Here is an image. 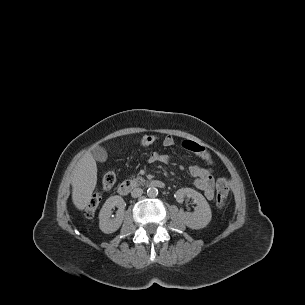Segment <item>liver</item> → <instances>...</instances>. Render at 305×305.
Here are the masks:
<instances>
[{
  "instance_id": "obj_1",
  "label": "liver",
  "mask_w": 305,
  "mask_h": 305,
  "mask_svg": "<svg viewBox=\"0 0 305 305\" xmlns=\"http://www.w3.org/2000/svg\"><path fill=\"white\" fill-rule=\"evenodd\" d=\"M96 184V161L86 151L77 162L72 175V200L77 209L83 210L89 204Z\"/></svg>"
}]
</instances>
